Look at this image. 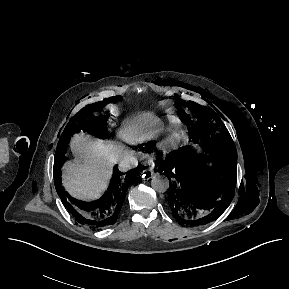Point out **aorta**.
Masks as SVG:
<instances>
[{
	"instance_id": "762f6f07",
	"label": "aorta",
	"mask_w": 289,
	"mask_h": 289,
	"mask_svg": "<svg viewBox=\"0 0 289 289\" xmlns=\"http://www.w3.org/2000/svg\"><path fill=\"white\" fill-rule=\"evenodd\" d=\"M152 188L158 193H164L169 188V180L164 175H156L151 180Z\"/></svg>"
}]
</instances>
